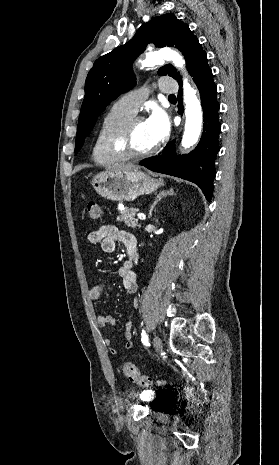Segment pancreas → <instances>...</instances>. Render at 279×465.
<instances>
[{"label":"pancreas","instance_id":"1","mask_svg":"<svg viewBox=\"0 0 279 465\" xmlns=\"http://www.w3.org/2000/svg\"><path fill=\"white\" fill-rule=\"evenodd\" d=\"M136 210L126 208L120 211V215L117 217V221H124L125 225L132 228H140L141 224L135 218Z\"/></svg>","mask_w":279,"mask_h":465}]
</instances>
